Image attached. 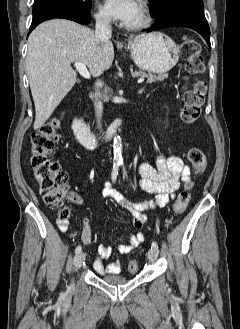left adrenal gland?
<instances>
[{"label":"left adrenal gland","instance_id":"left-adrenal-gland-1","mask_svg":"<svg viewBox=\"0 0 240 329\" xmlns=\"http://www.w3.org/2000/svg\"><path fill=\"white\" fill-rule=\"evenodd\" d=\"M144 89H141L138 93L141 94L143 92Z\"/></svg>","mask_w":240,"mask_h":329}]
</instances>
